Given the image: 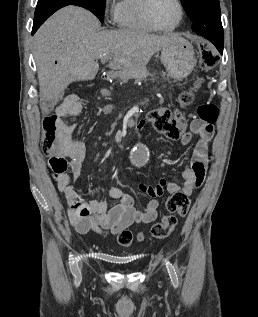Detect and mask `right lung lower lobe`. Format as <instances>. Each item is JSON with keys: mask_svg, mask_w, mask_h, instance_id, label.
I'll use <instances>...</instances> for the list:
<instances>
[{"mask_svg": "<svg viewBox=\"0 0 258 317\" xmlns=\"http://www.w3.org/2000/svg\"><path fill=\"white\" fill-rule=\"evenodd\" d=\"M67 5H76L90 10L89 0H38L35 10L32 35L37 31V29L44 23L47 18H49L60 8Z\"/></svg>", "mask_w": 258, "mask_h": 317, "instance_id": "obj_1", "label": "right lung lower lobe"}]
</instances>
